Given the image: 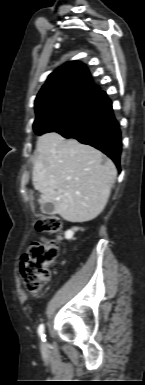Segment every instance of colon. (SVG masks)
<instances>
[{
  "label": "colon",
  "instance_id": "1",
  "mask_svg": "<svg viewBox=\"0 0 145 385\" xmlns=\"http://www.w3.org/2000/svg\"><path fill=\"white\" fill-rule=\"evenodd\" d=\"M35 228L41 235L56 236L49 241L33 242L21 259L24 284L32 294L39 296L50 279L51 268L57 259L59 234L63 223L58 216L46 215L37 221Z\"/></svg>",
  "mask_w": 145,
  "mask_h": 385
}]
</instances>
